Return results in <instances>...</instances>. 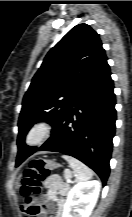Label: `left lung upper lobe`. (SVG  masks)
I'll use <instances>...</instances> for the list:
<instances>
[{"label": "left lung upper lobe", "instance_id": "left-lung-upper-lobe-1", "mask_svg": "<svg viewBox=\"0 0 132 217\" xmlns=\"http://www.w3.org/2000/svg\"><path fill=\"white\" fill-rule=\"evenodd\" d=\"M107 60L99 35L87 24L73 27L44 58L26 92L18 127V140L33 124L52 125V131L74 99ZM28 153L37 147L27 146Z\"/></svg>", "mask_w": 132, "mask_h": 217}]
</instances>
